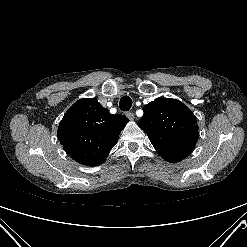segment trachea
<instances>
[{
    "instance_id": "1",
    "label": "trachea",
    "mask_w": 247,
    "mask_h": 247,
    "mask_svg": "<svg viewBox=\"0 0 247 247\" xmlns=\"http://www.w3.org/2000/svg\"><path fill=\"white\" fill-rule=\"evenodd\" d=\"M132 106V100L129 96H123L120 99L119 107L122 111H129Z\"/></svg>"
}]
</instances>
